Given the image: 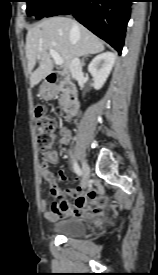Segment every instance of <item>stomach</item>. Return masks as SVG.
Returning <instances> with one entry per match:
<instances>
[{"label":"stomach","instance_id":"1","mask_svg":"<svg viewBox=\"0 0 158 275\" xmlns=\"http://www.w3.org/2000/svg\"><path fill=\"white\" fill-rule=\"evenodd\" d=\"M39 96L44 100H49L54 96V90L48 83L44 82L40 85Z\"/></svg>","mask_w":158,"mask_h":275}]
</instances>
